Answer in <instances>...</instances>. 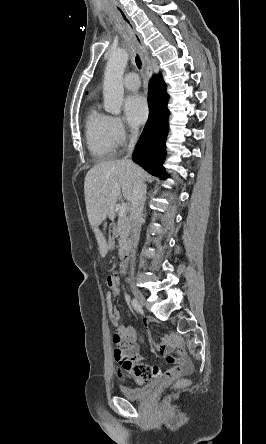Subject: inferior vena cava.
<instances>
[{
    "mask_svg": "<svg viewBox=\"0 0 266 444\" xmlns=\"http://www.w3.org/2000/svg\"><path fill=\"white\" fill-rule=\"evenodd\" d=\"M137 137H138V129H134L130 137V143L128 148L130 154L134 150ZM145 200H146V184L144 183V180L142 178H138L133 190V195L131 199L130 217H129L130 232H131L130 245L132 247V268L135 261L134 258L135 249L138 245L140 237L141 219H142Z\"/></svg>",
    "mask_w": 266,
    "mask_h": 444,
    "instance_id": "inferior-vena-cava-1",
    "label": "inferior vena cava"
}]
</instances>
